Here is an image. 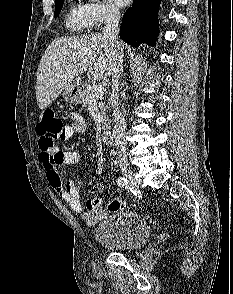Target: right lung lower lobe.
I'll return each instance as SVG.
<instances>
[{
    "instance_id": "obj_1",
    "label": "right lung lower lobe",
    "mask_w": 233,
    "mask_h": 294,
    "mask_svg": "<svg viewBox=\"0 0 233 294\" xmlns=\"http://www.w3.org/2000/svg\"><path fill=\"white\" fill-rule=\"evenodd\" d=\"M159 5L160 0H133L132 7L123 15L120 38L134 47L142 43L155 46Z\"/></svg>"
}]
</instances>
